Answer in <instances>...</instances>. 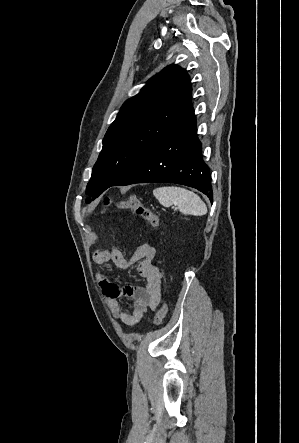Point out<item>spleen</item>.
I'll return each instance as SVG.
<instances>
[{"instance_id":"3e777b00","label":"spleen","mask_w":299,"mask_h":443,"mask_svg":"<svg viewBox=\"0 0 299 443\" xmlns=\"http://www.w3.org/2000/svg\"><path fill=\"white\" fill-rule=\"evenodd\" d=\"M153 195L165 207L176 205L185 215L203 216L207 206L194 192L181 187L168 186L153 190Z\"/></svg>"}]
</instances>
